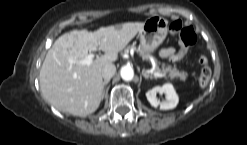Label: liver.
<instances>
[{"label":"liver","instance_id":"liver-1","mask_svg":"<svg viewBox=\"0 0 247 145\" xmlns=\"http://www.w3.org/2000/svg\"><path fill=\"white\" fill-rule=\"evenodd\" d=\"M144 22H128L120 27H101L94 32L72 30L61 35L47 52L39 81L41 92L62 112L84 117L97 110L102 99V68L118 59V52L143 28ZM102 50L90 65L78 61L89 52Z\"/></svg>","mask_w":247,"mask_h":145}]
</instances>
